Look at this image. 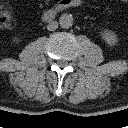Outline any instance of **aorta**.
<instances>
[{"mask_svg":"<svg viewBox=\"0 0 128 128\" xmlns=\"http://www.w3.org/2000/svg\"><path fill=\"white\" fill-rule=\"evenodd\" d=\"M73 21V16L68 13L62 14L59 18V24L64 29L72 27Z\"/></svg>","mask_w":128,"mask_h":128,"instance_id":"obj_1","label":"aorta"}]
</instances>
